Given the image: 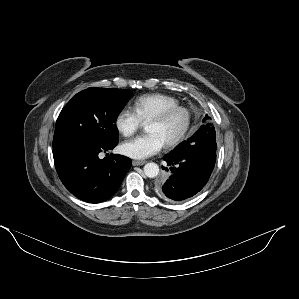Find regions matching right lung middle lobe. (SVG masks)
Returning a JSON list of instances; mask_svg holds the SVG:
<instances>
[{"instance_id":"right-lung-middle-lobe-1","label":"right lung middle lobe","mask_w":299,"mask_h":299,"mask_svg":"<svg viewBox=\"0 0 299 299\" xmlns=\"http://www.w3.org/2000/svg\"><path fill=\"white\" fill-rule=\"evenodd\" d=\"M126 89L88 88L77 93L60 112L53 148L75 142L115 145L117 116L131 98Z\"/></svg>"}]
</instances>
